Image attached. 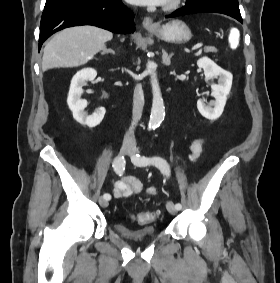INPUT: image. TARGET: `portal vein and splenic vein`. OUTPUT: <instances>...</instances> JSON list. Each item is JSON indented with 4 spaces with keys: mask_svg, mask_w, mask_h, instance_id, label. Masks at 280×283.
Masks as SVG:
<instances>
[{
    "mask_svg": "<svg viewBox=\"0 0 280 283\" xmlns=\"http://www.w3.org/2000/svg\"><path fill=\"white\" fill-rule=\"evenodd\" d=\"M202 45H203L202 43H199V44L195 45V46L192 48V50H196V49L202 47Z\"/></svg>",
    "mask_w": 280,
    "mask_h": 283,
    "instance_id": "portal-vein-and-splenic-vein-1",
    "label": "portal vein and splenic vein"
}]
</instances>
